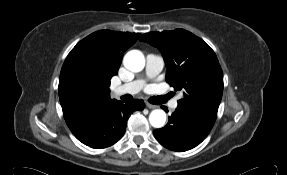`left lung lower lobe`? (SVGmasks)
<instances>
[{
	"mask_svg": "<svg viewBox=\"0 0 287 175\" xmlns=\"http://www.w3.org/2000/svg\"><path fill=\"white\" fill-rule=\"evenodd\" d=\"M164 110L167 111L166 108ZM210 131L188 112L177 108L166 126L154 130V136L165 148L183 152L199 145Z\"/></svg>",
	"mask_w": 287,
	"mask_h": 175,
	"instance_id": "obj_1",
	"label": "left lung lower lobe"
}]
</instances>
